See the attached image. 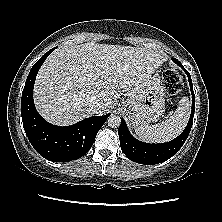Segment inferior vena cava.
<instances>
[{"label": "inferior vena cava", "instance_id": "inferior-vena-cava-1", "mask_svg": "<svg viewBox=\"0 0 222 222\" xmlns=\"http://www.w3.org/2000/svg\"><path fill=\"white\" fill-rule=\"evenodd\" d=\"M100 106H101L100 102H98L95 99H92L86 103V107L94 113H96L100 109Z\"/></svg>", "mask_w": 222, "mask_h": 222}]
</instances>
